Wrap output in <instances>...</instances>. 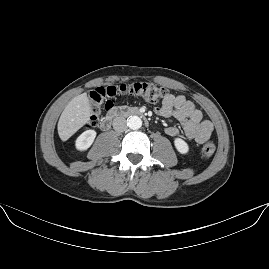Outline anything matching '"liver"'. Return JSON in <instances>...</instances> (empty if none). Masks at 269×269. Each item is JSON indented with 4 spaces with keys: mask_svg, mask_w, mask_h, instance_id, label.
I'll use <instances>...</instances> for the list:
<instances>
[{
    "mask_svg": "<svg viewBox=\"0 0 269 269\" xmlns=\"http://www.w3.org/2000/svg\"><path fill=\"white\" fill-rule=\"evenodd\" d=\"M89 110L85 93L74 97L67 104L58 122V133L62 140H67L89 120Z\"/></svg>",
    "mask_w": 269,
    "mask_h": 269,
    "instance_id": "liver-1",
    "label": "liver"
}]
</instances>
